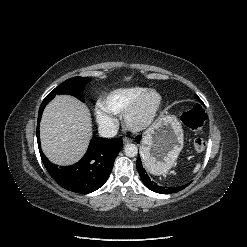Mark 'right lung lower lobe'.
<instances>
[{
    "mask_svg": "<svg viewBox=\"0 0 247 247\" xmlns=\"http://www.w3.org/2000/svg\"><path fill=\"white\" fill-rule=\"evenodd\" d=\"M52 99L46 97L38 113L37 141L44 166L50 176L66 190L81 194L91 193L105 184L112 171L114 160L123 146L122 138H93L86 154L76 164L65 167L52 164L41 152L39 134L42 112Z\"/></svg>",
    "mask_w": 247,
    "mask_h": 247,
    "instance_id": "obj_1",
    "label": "right lung lower lobe"
}]
</instances>
